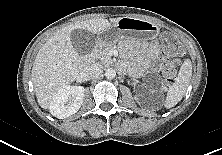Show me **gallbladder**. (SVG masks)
<instances>
[{
  "label": "gallbladder",
  "mask_w": 222,
  "mask_h": 155,
  "mask_svg": "<svg viewBox=\"0 0 222 155\" xmlns=\"http://www.w3.org/2000/svg\"><path fill=\"white\" fill-rule=\"evenodd\" d=\"M70 38L74 49L80 54L90 53L95 45L94 36L87 30L75 29Z\"/></svg>",
  "instance_id": "gallbladder-1"
}]
</instances>
